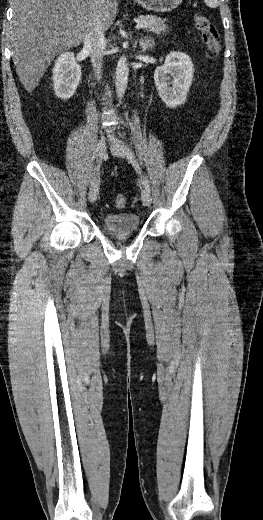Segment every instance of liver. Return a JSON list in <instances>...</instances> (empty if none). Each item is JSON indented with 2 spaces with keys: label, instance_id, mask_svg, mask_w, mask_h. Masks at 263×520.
<instances>
[{
  "label": "liver",
  "instance_id": "obj_1",
  "mask_svg": "<svg viewBox=\"0 0 263 520\" xmlns=\"http://www.w3.org/2000/svg\"><path fill=\"white\" fill-rule=\"evenodd\" d=\"M93 12L107 30L116 18L117 0H13L12 56L27 92L38 86L57 54L84 41Z\"/></svg>",
  "mask_w": 263,
  "mask_h": 520
}]
</instances>
